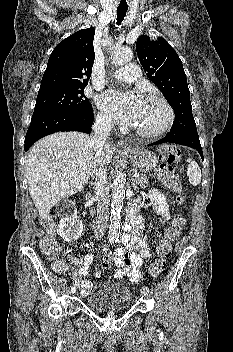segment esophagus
Returning <instances> with one entry per match:
<instances>
[{
  "mask_svg": "<svg viewBox=\"0 0 233 352\" xmlns=\"http://www.w3.org/2000/svg\"><path fill=\"white\" fill-rule=\"evenodd\" d=\"M116 147L119 149H128L129 148L127 142H125L124 140H118V142L116 143Z\"/></svg>",
  "mask_w": 233,
  "mask_h": 352,
  "instance_id": "obj_1",
  "label": "esophagus"
}]
</instances>
